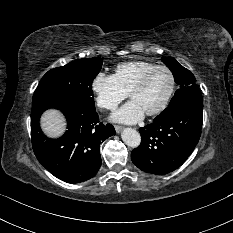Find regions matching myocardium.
Returning <instances> with one entry per match:
<instances>
[{"instance_id":"f54148a6","label":"myocardium","mask_w":233,"mask_h":233,"mask_svg":"<svg viewBox=\"0 0 233 233\" xmlns=\"http://www.w3.org/2000/svg\"><path fill=\"white\" fill-rule=\"evenodd\" d=\"M160 70H164L168 72L170 79H171V85H170L169 92L167 96L165 97L164 101L162 102V104L157 109L150 111L148 113H145L147 116H150V117L161 114L168 107L174 95L175 89H176V78H175L173 71L167 66H156L153 69L149 70L147 73H145L129 92V97L131 98L135 93L141 91L145 87L148 80L151 78V76L154 73Z\"/></svg>"}]
</instances>
